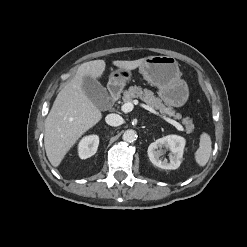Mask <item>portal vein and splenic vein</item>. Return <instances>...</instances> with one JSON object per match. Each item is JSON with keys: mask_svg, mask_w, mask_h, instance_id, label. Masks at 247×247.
I'll return each instance as SVG.
<instances>
[{"mask_svg": "<svg viewBox=\"0 0 247 247\" xmlns=\"http://www.w3.org/2000/svg\"><path fill=\"white\" fill-rule=\"evenodd\" d=\"M133 104L134 105H138L139 104L142 108H144L145 110H148L149 112H151V113L159 116L160 118L164 119L166 122H168V123L172 124L173 126H175L178 130H180V131L184 130L183 126L180 123H178L177 121H175V120H173V119H171V118H169V117H167L165 115L160 114L158 111H156L154 108H152L149 105H146V104H143V103H139L138 100H134L133 102H127V103L123 104L121 106V110L124 113L131 112L133 110V107H134Z\"/></svg>", "mask_w": 247, "mask_h": 247, "instance_id": "1", "label": "portal vein and splenic vein"}]
</instances>
